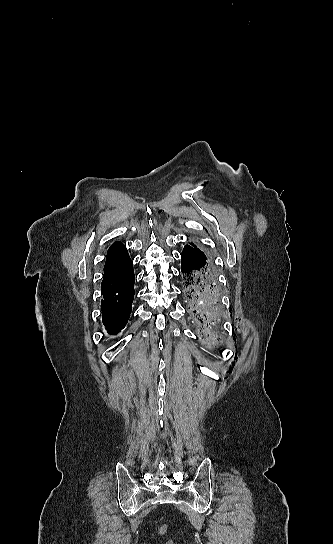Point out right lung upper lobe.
I'll use <instances>...</instances> for the list:
<instances>
[{
	"label": "right lung upper lobe",
	"instance_id": "obj_1",
	"mask_svg": "<svg viewBox=\"0 0 333 544\" xmlns=\"http://www.w3.org/2000/svg\"><path fill=\"white\" fill-rule=\"evenodd\" d=\"M130 263L125 245L119 241L114 242L107 252L103 281L120 273Z\"/></svg>",
	"mask_w": 333,
	"mask_h": 544
}]
</instances>
